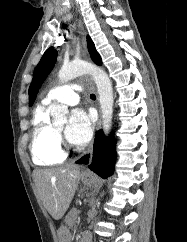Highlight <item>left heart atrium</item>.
I'll list each match as a JSON object with an SVG mask.
<instances>
[{
    "instance_id": "1",
    "label": "left heart atrium",
    "mask_w": 187,
    "mask_h": 242,
    "mask_svg": "<svg viewBox=\"0 0 187 242\" xmlns=\"http://www.w3.org/2000/svg\"><path fill=\"white\" fill-rule=\"evenodd\" d=\"M93 119L81 108L72 110L65 129L67 140L75 145H85L92 136Z\"/></svg>"
}]
</instances>
